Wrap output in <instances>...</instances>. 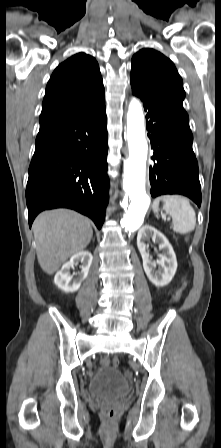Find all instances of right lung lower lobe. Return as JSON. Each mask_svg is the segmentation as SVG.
<instances>
[{"instance_id": "right-lung-lower-lobe-1", "label": "right lung lower lobe", "mask_w": 221, "mask_h": 448, "mask_svg": "<svg viewBox=\"0 0 221 448\" xmlns=\"http://www.w3.org/2000/svg\"><path fill=\"white\" fill-rule=\"evenodd\" d=\"M105 99L39 130L26 188L29 226L45 209L66 207L98 228L108 203Z\"/></svg>"}]
</instances>
